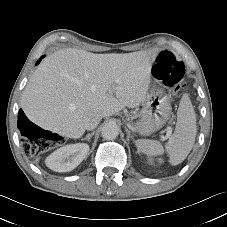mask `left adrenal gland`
Wrapping results in <instances>:
<instances>
[{"label": "left adrenal gland", "instance_id": "left-adrenal-gland-1", "mask_svg": "<svg viewBox=\"0 0 227 227\" xmlns=\"http://www.w3.org/2000/svg\"><path fill=\"white\" fill-rule=\"evenodd\" d=\"M127 134H128V139H129V138H133V136H131V134H130V131H129V130H127Z\"/></svg>", "mask_w": 227, "mask_h": 227}]
</instances>
